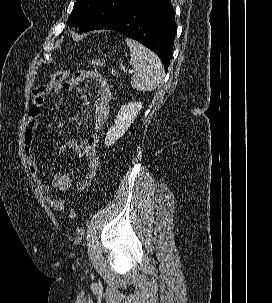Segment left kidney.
Instances as JSON below:
<instances>
[{"label": "left kidney", "mask_w": 272, "mask_h": 303, "mask_svg": "<svg viewBox=\"0 0 272 303\" xmlns=\"http://www.w3.org/2000/svg\"><path fill=\"white\" fill-rule=\"evenodd\" d=\"M141 102H129L121 106L113 125L109 128L106 137L105 145L107 147L114 144L120 139L134 122L139 111L142 109Z\"/></svg>", "instance_id": "obj_1"}]
</instances>
